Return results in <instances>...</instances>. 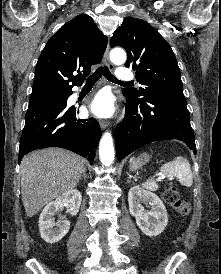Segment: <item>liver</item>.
Masks as SVG:
<instances>
[{
	"label": "liver",
	"mask_w": 221,
	"mask_h": 274,
	"mask_svg": "<svg viewBox=\"0 0 221 274\" xmlns=\"http://www.w3.org/2000/svg\"><path fill=\"white\" fill-rule=\"evenodd\" d=\"M21 195L26 215L73 190L84 171V160L64 149L47 148L24 156L20 165Z\"/></svg>",
	"instance_id": "obj_1"
}]
</instances>
